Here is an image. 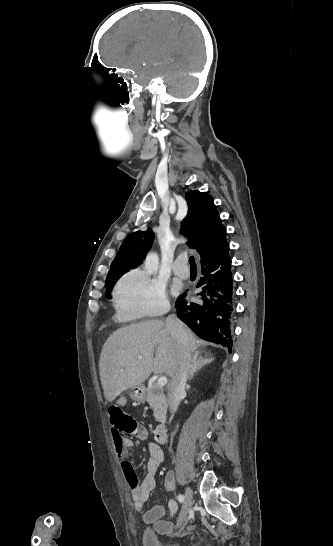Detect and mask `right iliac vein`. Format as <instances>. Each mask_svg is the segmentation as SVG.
<instances>
[{
    "label": "right iliac vein",
    "instance_id": "obj_1",
    "mask_svg": "<svg viewBox=\"0 0 333 546\" xmlns=\"http://www.w3.org/2000/svg\"><path fill=\"white\" fill-rule=\"evenodd\" d=\"M192 497H193L192 490L190 488H187L185 491V501H184L179 519L177 521V526H181L186 520L187 514L192 504Z\"/></svg>",
    "mask_w": 333,
    "mask_h": 546
}]
</instances>
